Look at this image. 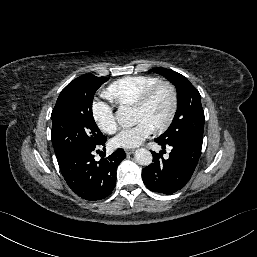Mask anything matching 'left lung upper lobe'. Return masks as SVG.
<instances>
[{
	"label": "left lung upper lobe",
	"instance_id": "obj_1",
	"mask_svg": "<svg viewBox=\"0 0 257 257\" xmlns=\"http://www.w3.org/2000/svg\"><path fill=\"white\" fill-rule=\"evenodd\" d=\"M158 73L173 83L177 89L178 107L169 128L157 139L170 141L203 142L204 112L198 90L183 75L166 68H154Z\"/></svg>",
	"mask_w": 257,
	"mask_h": 257
}]
</instances>
